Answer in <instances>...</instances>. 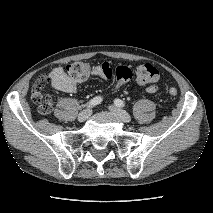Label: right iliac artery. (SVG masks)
I'll list each match as a JSON object with an SVG mask.
<instances>
[{
    "instance_id": "right-iliac-artery-1",
    "label": "right iliac artery",
    "mask_w": 213,
    "mask_h": 213,
    "mask_svg": "<svg viewBox=\"0 0 213 213\" xmlns=\"http://www.w3.org/2000/svg\"><path fill=\"white\" fill-rule=\"evenodd\" d=\"M102 102V97L96 96L93 99H91L85 106L90 108L94 107Z\"/></svg>"
}]
</instances>
